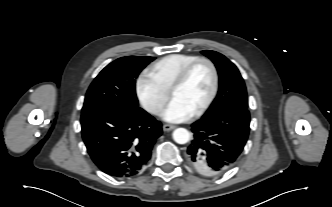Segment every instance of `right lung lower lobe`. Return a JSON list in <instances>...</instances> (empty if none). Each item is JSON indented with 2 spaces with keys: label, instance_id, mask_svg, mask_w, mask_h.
<instances>
[{
  "label": "right lung lower lobe",
  "instance_id": "98d812e1",
  "mask_svg": "<svg viewBox=\"0 0 332 207\" xmlns=\"http://www.w3.org/2000/svg\"><path fill=\"white\" fill-rule=\"evenodd\" d=\"M81 133L93 162L106 174L125 178L148 163L162 124L141 108H103L81 116Z\"/></svg>",
  "mask_w": 332,
  "mask_h": 207
}]
</instances>
